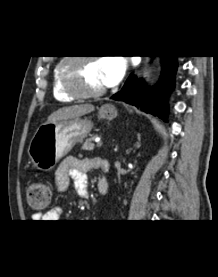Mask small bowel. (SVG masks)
<instances>
[{"mask_svg":"<svg viewBox=\"0 0 218 277\" xmlns=\"http://www.w3.org/2000/svg\"><path fill=\"white\" fill-rule=\"evenodd\" d=\"M98 168L107 169L108 165L101 159L68 157L60 163L55 172L56 186L59 191H65L72 181L78 195L87 199V173ZM62 213V207H55L45 213L34 214V219L38 220L37 222H55Z\"/></svg>","mask_w":218,"mask_h":277,"instance_id":"1","label":"small bowel"}]
</instances>
